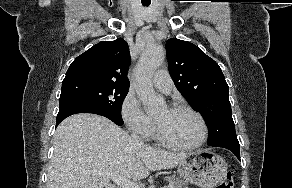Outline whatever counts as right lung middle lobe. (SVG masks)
<instances>
[{"mask_svg": "<svg viewBox=\"0 0 292 188\" xmlns=\"http://www.w3.org/2000/svg\"><path fill=\"white\" fill-rule=\"evenodd\" d=\"M128 90L129 86L90 78L63 80L59 104H83L122 119L121 107Z\"/></svg>", "mask_w": 292, "mask_h": 188, "instance_id": "1", "label": "right lung middle lobe"}]
</instances>
